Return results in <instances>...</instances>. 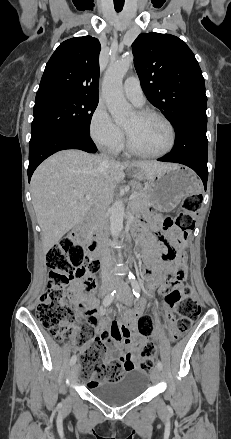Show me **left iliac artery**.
I'll return each mask as SVG.
<instances>
[{"label": "left iliac artery", "instance_id": "obj_1", "mask_svg": "<svg viewBox=\"0 0 231 439\" xmlns=\"http://www.w3.org/2000/svg\"><path fill=\"white\" fill-rule=\"evenodd\" d=\"M131 279V286H132V291L133 294L139 298L140 297V286L139 283L137 282V280L135 279V277L130 278ZM163 365L160 361L157 362V368L158 369H162Z\"/></svg>", "mask_w": 231, "mask_h": 439}]
</instances>
